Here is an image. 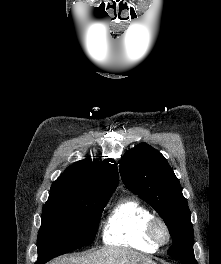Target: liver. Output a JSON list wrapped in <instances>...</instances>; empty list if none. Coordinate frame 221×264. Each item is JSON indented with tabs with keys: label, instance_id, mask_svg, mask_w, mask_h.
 Segmentation results:
<instances>
[{
	"label": "liver",
	"instance_id": "liver-1",
	"mask_svg": "<svg viewBox=\"0 0 221 264\" xmlns=\"http://www.w3.org/2000/svg\"><path fill=\"white\" fill-rule=\"evenodd\" d=\"M152 260L136 251L107 247L87 254L62 257L48 264H144Z\"/></svg>",
	"mask_w": 221,
	"mask_h": 264
}]
</instances>
